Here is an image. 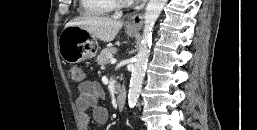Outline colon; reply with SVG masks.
Returning a JSON list of instances; mask_svg holds the SVG:
<instances>
[{"label":"colon","mask_w":257,"mask_h":130,"mask_svg":"<svg viewBox=\"0 0 257 130\" xmlns=\"http://www.w3.org/2000/svg\"><path fill=\"white\" fill-rule=\"evenodd\" d=\"M70 79L73 82H82L85 79V71L79 66H72L68 70Z\"/></svg>","instance_id":"obj_1"}]
</instances>
